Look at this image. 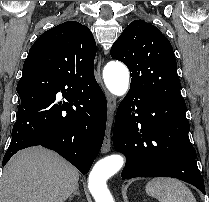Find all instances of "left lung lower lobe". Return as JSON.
Segmentation results:
<instances>
[{"label":"left lung lower lobe","instance_id":"1","mask_svg":"<svg viewBox=\"0 0 209 202\" xmlns=\"http://www.w3.org/2000/svg\"><path fill=\"white\" fill-rule=\"evenodd\" d=\"M189 129L185 103L129 90L118 107L113 130L114 148L126 157L122 178L173 177L205 194Z\"/></svg>","mask_w":209,"mask_h":202}]
</instances>
